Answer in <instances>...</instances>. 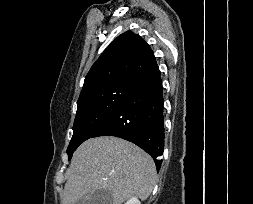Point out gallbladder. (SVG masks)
I'll list each match as a JSON object with an SVG mask.
<instances>
[{
  "label": "gallbladder",
  "mask_w": 253,
  "mask_h": 204,
  "mask_svg": "<svg viewBox=\"0 0 253 204\" xmlns=\"http://www.w3.org/2000/svg\"><path fill=\"white\" fill-rule=\"evenodd\" d=\"M76 204H113V198L109 191L100 189L94 191L88 198H82Z\"/></svg>",
  "instance_id": "1"
}]
</instances>
